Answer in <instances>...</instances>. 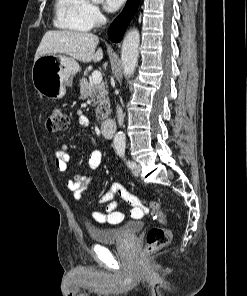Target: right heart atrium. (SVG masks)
Listing matches in <instances>:
<instances>
[{
    "instance_id": "right-heart-atrium-1",
    "label": "right heart atrium",
    "mask_w": 247,
    "mask_h": 296,
    "mask_svg": "<svg viewBox=\"0 0 247 296\" xmlns=\"http://www.w3.org/2000/svg\"><path fill=\"white\" fill-rule=\"evenodd\" d=\"M86 18L91 26H98L104 20L103 13L101 12L98 5L90 1H87Z\"/></svg>"
}]
</instances>
